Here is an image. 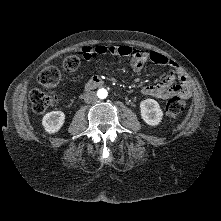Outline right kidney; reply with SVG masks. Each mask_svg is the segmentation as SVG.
<instances>
[{
  "label": "right kidney",
  "mask_w": 221,
  "mask_h": 221,
  "mask_svg": "<svg viewBox=\"0 0 221 221\" xmlns=\"http://www.w3.org/2000/svg\"><path fill=\"white\" fill-rule=\"evenodd\" d=\"M65 121V114L62 111H52L47 113L42 119V125L49 134L58 132Z\"/></svg>",
  "instance_id": "right-kidney-1"
}]
</instances>
